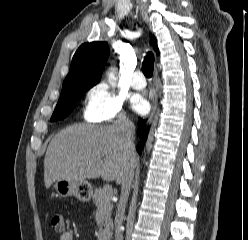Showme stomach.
I'll return each mask as SVG.
<instances>
[{
    "label": "stomach",
    "mask_w": 248,
    "mask_h": 240,
    "mask_svg": "<svg viewBox=\"0 0 248 240\" xmlns=\"http://www.w3.org/2000/svg\"><path fill=\"white\" fill-rule=\"evenodd\" d=\"M54 189L63 198L74 196L80 201H89L92 196V186L88 181L60 179L55 181Z\"/></svg>",
    "instance_id": "0dacf381"
}]
</instances>
